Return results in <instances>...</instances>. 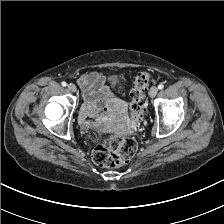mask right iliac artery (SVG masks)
Here are the masks:
<instances>
[{
    "label": "right iliac artery",
    "mask_w": 224,
    "mask_h": 224,
    "mask_svg": "<svg viewBox=\"0 0 224 224\" xmlns=\"http://www.w3.org/2000/svg\"><path fill=\"white\" fill-rule=\"evenodd\" d=\"M61 84H62L63 87H66L67 86V83L64 82V81Z\"/></svg>",
    "instance_id": "obj_1"
}]
</instances>
